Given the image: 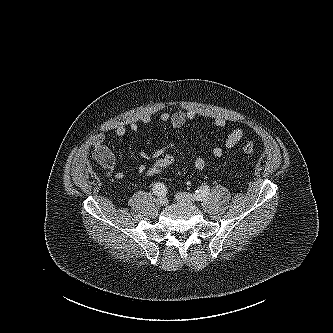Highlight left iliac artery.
<instances>
[{
	"label": "left iliac artery",
	"mask_w": 333,
	"mask_h": 333,
	"mask_svg": "<svg viewBox=\"0 0 333 333\" xmlns=\"http://www.w3.org/2000/svg\"><path fill=\"white\" fill-rule=\"evenodd\" d=\"M210 193V187L208 185L202 186L200 189L195 191L196 198L202 200L206 198Z\"/></svg>",
	"instance_id": "44dca946"
}]
</instances>
